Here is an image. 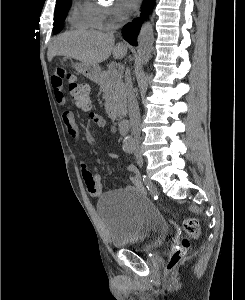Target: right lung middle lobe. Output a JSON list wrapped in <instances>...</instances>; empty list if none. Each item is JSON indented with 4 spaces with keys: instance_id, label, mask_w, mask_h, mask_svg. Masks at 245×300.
<instances>
[{
    "instance_id": "right-lung-middle-lobe-1",
    "label": "right lung middle lobe",
    "mask_w": 245,
    "mask_h": 300,
    "mask_svg": "<svg viewBox=\"0 0 245 300\" xmlns=\"http://www.w3.org/2000/svg\"><path fill=\"white\" fill-rule=\"evenodd\" d=\"M71 0H58L56 2L55 14H54V27L53 33H59L64 26V19L68 13Z\"/></svg>"
}]
</instances>
